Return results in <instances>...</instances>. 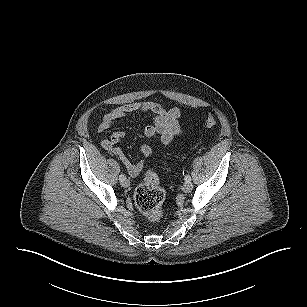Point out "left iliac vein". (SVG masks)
Returning <instances> with one entry per match:
<instances>
[{
    "label": "left iliac vein",
    "mask_w": 307,
    "mask_h": 307,
    "mask_svg": "<svg viewBox=\"0 0 307 307\" xmlns=\"http://www.w3.org/2000/svg\"><path fill=\"white\" fill-rule=\"evenodd\" d=\"M192 188H193V184L191 180L185 181L182 187L184 192H189L190 190H192Z\"/></svg>",
    "instance_id": "left-iliac-vein-1"
}]
</instances>
